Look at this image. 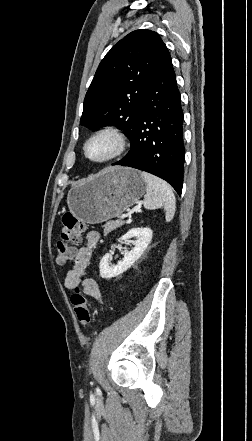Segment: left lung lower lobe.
<instances>
[{"instance_id":"obj_1","label":"left lung lower lobe","mask_w":252,"mask_h":441,"mask_svg":"<svg viewBox=\"0 0 252 441\" xmlns=\"http://www.w3.org/2000/svg\"><path fill=\"white\" fill-rule=\"evenodd\" d=\"M181 96L171 56L164 44L137 120L131 149L122 165L154 174L173 186L181 195L184 143Z\"/></svg>"}]
</instances>
